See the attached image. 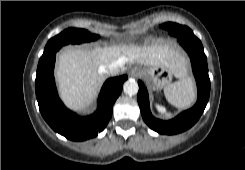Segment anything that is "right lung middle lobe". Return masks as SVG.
Segmentation results:
<instances>
[{
	"instance_id": "obj_1",
	"label": "right lung middle lobe",
	"mask_w": 245,
	"mask_h": 170,
	"mask_svg": "<svg viewBox=\"0 0 245 170\" xmlns=\"http://www.w3.org/2000/svg\"><path fill=\"white\" fill-rule=\"evenodd\" d=\"M98 38V35H92L85 29L68 28L48 41L43 55L70 43L79 44L82 42L93 41Z\"/></svg>"
}]
</instances>
